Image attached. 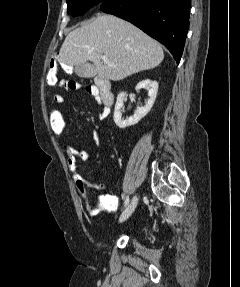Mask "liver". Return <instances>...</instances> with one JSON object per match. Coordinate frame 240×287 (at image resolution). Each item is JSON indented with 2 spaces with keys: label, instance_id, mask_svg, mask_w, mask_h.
<instances>
[{
  "label": "liver",
  "instance_id": "obj_1",
  "mask_svg": "<svg viewBox=\"0 0 240 287\" xmlns=\"http://www.w3.org/2000/svg\"><path fill=\"white\" fill-rule=\"evenodd\" d=\"M107 55L109 63L101 61ZM164 52L157 41L131 23L113 15H98L71 31L59 52L65 66L93 63L100 79L120 81L158 66Z\"/></svg>",
  "mask_w": 240,
  "mask_h": 287
}]
</instances>
